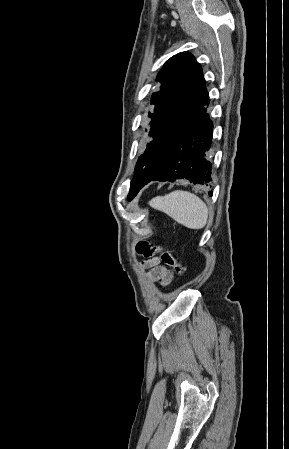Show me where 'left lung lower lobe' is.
Masks as SVG:
<instances>
[{"mask_svg": "<svg viewBox=\"0 0 289 449\" xmlns=\"http://www.w3.org/2000/svg\"><path fill=\"white\" fill-rule=\"evenodd\" d=\"M208 104L209 95L206 90L190 118L165 140V160L161 171L142 182L128 200L135 197L144 185L154 180L172 182L175 179H187L201 185L212 182V165L208 159V150L212 142L213 123L207 113Z\"/></svg>", "mask_w": 289, "mask_h": 449, "instance_id": "obj_1", "label": "left lung lower lobe"}]
</instances>
